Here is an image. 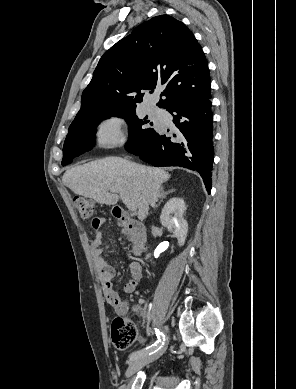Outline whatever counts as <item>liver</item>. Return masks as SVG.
<instances>
[{
	"label": "liver",
	"mask_w": 296,
	"mask_h": 389,
	"mask_svg": "<svg viewBox=\"0 0 296 389\" xmlns=\"http://www.w3.org/2000/svg\"><path fill=\"white\" fill-rule=\"evenodd\" d=\"M170 178L163 169L133 163L119 157H107L68 169L62 182L75 194L100 204L114 205L123 194L134 202L138 219L148 215Z\"/></svg>",
	"instance_id": "1"
}]
</instances>
